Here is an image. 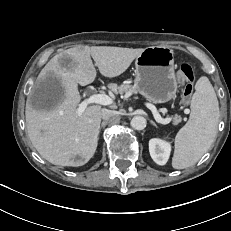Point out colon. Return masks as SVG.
Masks as SVG:
<instances>
[{
  "instance_id": "1",
  "label": "colon",
  "mask_w": 231,
  "mask_h": 231,
  "mask_svg": "<svg viewBox=\"0 0 231 231\" xmlns=\"http://www.w3.org/2000/svg\"><path fill=\"white\" fill-rule=\"evenodd\" d=\"M178 78L187 82L182 90V100L183 102L187 103L189 102L193 93L192 82L195 79L193 68L187 63H182L180 70L178 71Z\"/></svg>"
}]
</instances>
